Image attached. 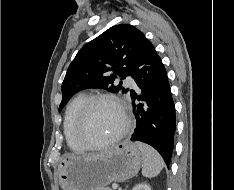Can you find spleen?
I'll return each mask as SVG.
<instances>
[{"label":"spleen","instance_id":"1","mask_svg":"<svg viewBox=\"0 0 234 190\" xmlns=\"http://www.w3.org/2000/svg\"><path fill=\"white\" fill-rule=\"evenodd\" d=\"M135 145L141 151L144 162L142 175L147 178L156 177L164 167L162 157L154 148L147 144L136 141Z\"/></svg>","mask_w":234,"mask_h":190}]
</instances>
